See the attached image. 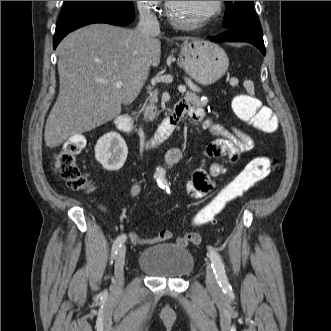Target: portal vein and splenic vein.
<instances>
[{
    "label": "portal vein and splenic vein",
    "mask_w": 331,
    "mask_h": 331,
    "mask_svg": "<svg viewBox=\"0 0 331 331\" xmlns=\"http://www.w3.org/2000/svg\"><path fill=\"white\" fill-rule=\"evenodd\" d=\"M122 85H123V83H122L121 81H118V82L115 83V87H116L117 89L121 88ZM178 90H179V92H181V93H185V92H186V87L183 86V85H180V86H178Z\"/></svg>",
    "instance_id": "18ae733b"
}]
</instances>
